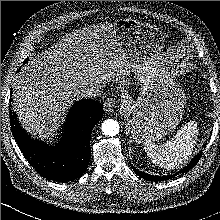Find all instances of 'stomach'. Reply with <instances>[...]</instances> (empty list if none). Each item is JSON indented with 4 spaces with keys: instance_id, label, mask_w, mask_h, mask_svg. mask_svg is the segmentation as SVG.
I'll use <instances>...</instances> for the list:
<instances>
[{
    "instance_id": "obj_1",
    "label": "stomach",
    "mask_w": 220,
    "mask_h": 220,
    "mask_svg": "<svg viewBox=\"0 0 220 220\" xmlns=\"http://www.w3.org/2000/svg\"><path fill=\"white\" fill-rule=\"evenodd\" d=\"M116 35L141 84L137 101L126 108L129 132L137 143L155 142L179 124L185 93L162 58L159 28L126 18L115 22Z\"/></svg>"
}]
</instances>
